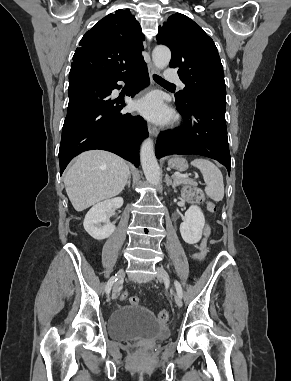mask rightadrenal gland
<instances>
[{
  "mask_svg": "<svg viewBox=\"0 0 291 381\" xmlns=\"http://www.w3.org/2000/svg\"><path fill=\"white\" fill-rule=\"evenodd\" d=\"M131 185V174L129 175L128 181H127V186L130 187Z\"/></svg>",
  "mask_w": 291,
  "mask_h": 381,
  "instance_id": "1",
  "label": "right adrenal gland"
}]
</instances>
